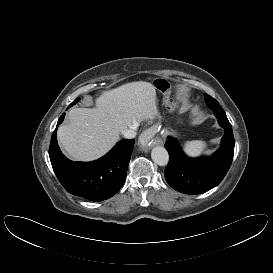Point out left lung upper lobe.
<instances>
[{
	"label": "left lung upper lobe",
	"instance_id": "left-lung-upper-lobe-1",
	"mask_svg": "<svg viewBox=\"0 0 273 273\" xmlns=\"http://www.w3.org/2000/svg\"><path fill=\"white\" fill-rule=\"evenodd\" d=\"M205 101L207 105L214 111V112H224L223 108L220 106V104L212 98L211 96L204 94Z\"/></svg>",
	"mask_w": 273,
	"mask_h": 273
}]
</instances>
